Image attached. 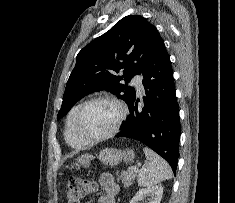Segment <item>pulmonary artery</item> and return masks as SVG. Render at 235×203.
Returning a JSON list of instances; mask_svg holds the SVG:
<instances>
[{
	"instance_id": "pulmonary-artery-1",
	"label": "pulmonary artery",
	"mask_w": 235,
	"mask_h": 203,
	"mask_svg": "<svg viewBox=\"0 0 235 203\" xmlns=\"http://www.w3.org/2000/svg\"><path fill=\"white\" fill-rule=\"evenodd\" d=\"M132 84L135 85V87L137 88V90L139 92L143 91V84H142V77L139 75H136L133 79H132Z\"/></svg>"
}]
</instances>
